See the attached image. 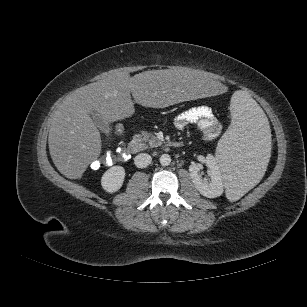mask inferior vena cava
Wrapping results in <instances>:
<instances>
[{
    "instance_id": "1",
    "label": "inferior vena cava",
    "mask_w": 307,
    "mask_h": 307,
    "mask_svg": "<svg viewBox=\"0 0 307 307\" xmlns=\"http://www.w3.org/2000/svg\"><path fill=\"white\" fill-rule=\"evenodd\" d=\"M152 161V157L146 153H140L135 156L134 163L138 168L147 167Z\"/></svg>"
}]
</instances>
